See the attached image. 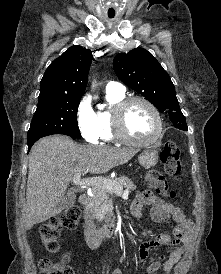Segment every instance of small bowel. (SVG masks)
Wrapping results in <instances>:
<instances>
[{
    "mask_svg": "<svg viewBox=\"0 0 221 274\" xmlns=\"http://www.w3.org/2000/svg\"><path fill=\"white\" fill-rule=\"evenodd\" d=\"M145 205L151 206V217L155 222H163L172 219L176 222L174 236L162 233L158 236L142 242L138 249V257L141 262L147 260L152 248L173 245L175 248L162 262V274H170L174 265L180 260L185 246L192 236V222L185 218L182 210L163 199L154 196L149 191L139 192L131 204V213L135 217H141ZM161 267L158 260L151 261L147 267V274H154ZM112 274H122L120 269H115Z\"/></svg>",
    "mask_w": 221,
    "mask_h": 274,
    "instance_id": "obj_1",
    "label": "small bowel"
}]
</instances>
